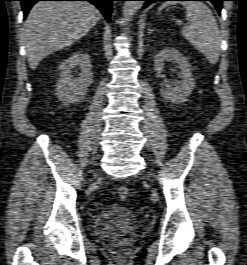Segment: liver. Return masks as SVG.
<instances>
[{
	"mask_svg": "<svg viewBox=\"0 0 247 265\" xmlns=\"http://www.w3.org/2000/svg\"><path fill=\"white\" fill-rule=\"evenodd\" d=\"M101 19L99 10L83 1H42L30 10L23 36L29 66L35 70L48 55L85 36Z\"/></svg>",
	"mask_w": 247,
	"mask_h": 265,
	"instance_id": "obj_1",
	"label": "liver"
}]
</instances>
